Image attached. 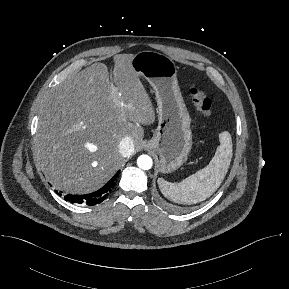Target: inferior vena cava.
<instances>
[{"instance_id":"obj_1","label":"inferior vena cava","mask_w":289,"mask_h":289,"mask_svg":"<svg viewBox=\"0 0 289 289\" xmlns=\"http://www.w3.org/2000/svg\"><path fill=\"white\" fill-rule=\"evenodd\" d=\"M119 152L123 157H128L134 152L133 141L130 137L125 136L119 143Z\"/></svg>"}]
</instances>
